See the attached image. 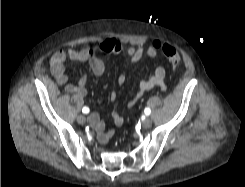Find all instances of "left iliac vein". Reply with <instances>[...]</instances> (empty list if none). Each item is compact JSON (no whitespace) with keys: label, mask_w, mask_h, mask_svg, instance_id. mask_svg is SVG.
<instances>
[{"label":"left iliac vein","mask_w":245,"mask_h":187,"mask_svg":"<svg viewBox=\"0 0 245 187\" xmlns=\"http://www.w3.org/2000/svg\"><path fill=\"white\" fill-rule=\"evenodd\" d=\"M151 125H152V120L149 117L145 118L142 122V126L144 128H149Z\"/></svg>","instance_id":"left-iliac-vein-1"}]
</instances>
